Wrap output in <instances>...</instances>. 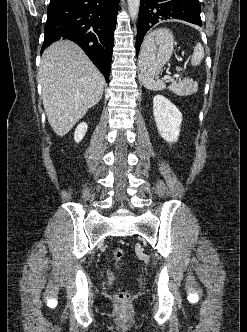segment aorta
<instances>
[{
    "instance_id": "762f6f07",
    "label": "aorta",
    "mask_w": 247,
    "mask_h": 332,
    "mask_svg": "<svg viewBox=\"0 0 247 332\" xmlns=\"http://www.w3.org/2000/svg\"><path fill=\"white\" fill-rule=\"evenodd\" d=\"M128 2V11L132 20L138 16L140 0H127Z\"/></svg>"
}]
</instances>
